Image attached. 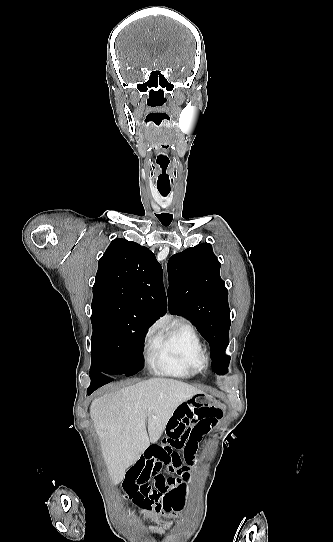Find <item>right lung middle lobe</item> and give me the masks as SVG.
I'll return each instance as SVG.
<instances>
[{"label":"right lung middle lobe","instance_id":"obj_1","mask_svg":"<svg viewBox=\"0 0 333 542\" xmlns=\"http://www.w3.org/2000/svg\"><path fill=\"white\" fill-rule=\"evenodd\" d=\"M91 370L132 376L144 363V338L153 323L110 308L92 309Z\"/></svg>","mask_w":333,"mask_h":542}]
</instances>
